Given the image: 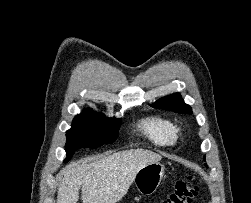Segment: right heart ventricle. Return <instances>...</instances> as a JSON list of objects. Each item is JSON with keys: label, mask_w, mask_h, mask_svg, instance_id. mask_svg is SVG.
<instances>
[{"label": "right heart ventricle", "mask_w": 251, "mask_h": 203, "mask_svg": "<svg viewBox=\"0 0 251 203\" xmlns=\"http://www.w3.org/2000/svg\"><path fill=\"white\" fill-rule=\"evenodd\" d=\"M140 131L154 144L169 146L179 138V128L174 121L162 116H151L139 123Z\"/></svg>", "instance_id": "e07e8e85"}]
</instances>
